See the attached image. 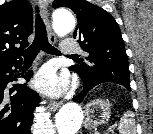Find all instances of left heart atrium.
<instances>
[{
	"instance_id": "39dd6f15",
	"label": "left heart atrium",
	"mask_w": 153,
	"mask_h": 134,
	"mask_svg": "<svg viewBox=\"0 0 153 134\" xmlns=\"http://www.w3.org/2000/svg\"><path fill=\"white\" fill-rule=\"evenodd\" d=\"M34 85L48 95L59 96L67 88V79L58 74L52 66H45L37 73Z\"/></svg>"
}]
</instances>
